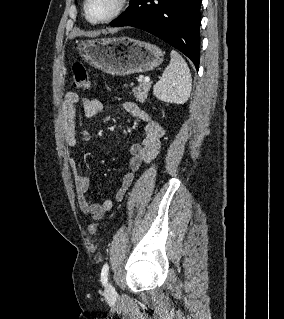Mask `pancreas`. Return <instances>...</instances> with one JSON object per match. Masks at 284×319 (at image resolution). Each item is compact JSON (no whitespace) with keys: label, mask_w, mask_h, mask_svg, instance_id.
Here are the masks:
<instances>
[{"label":"pancreas","mask_w":284,"mask_h":319,"mask_svg":"<svg viewBox=\"0 0 284 319\" xmlns=\"http://www.w3.org/2000/svg\"><path fill=\"white\" fill-rule=\"evenodd\" d=\"M151 83H146L145 81H141L139 86L133 88V93L137 101L143 103L147 98L148 91L150 90Z\"/></svg>","instance_id":"obj_1"}]
</instances>
